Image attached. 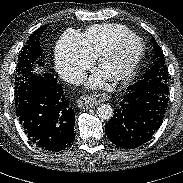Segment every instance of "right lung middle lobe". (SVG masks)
Masks as SVG:
<instances>
[{"instance_id":"right-lung-middle-lobe-1","label":"right lung middle lobe","mask_w":183,"mask_h":183,"mask_svg":"<svg viewBox=\"0 0 183 183\" xmlns=\"http://www.w3.org/2000/svg\"><path fill=\"white\" fill-rule=\"evenodd\" d=\"M46 28L47 26L44 25L31 34L26 45L22 48L16 67L15 85H18L24 78L33 76L31 72L33 70L32 64L43 65V62H41V58L43 57L42 49L39 40Z\"/></svg>"}]
</instances>
